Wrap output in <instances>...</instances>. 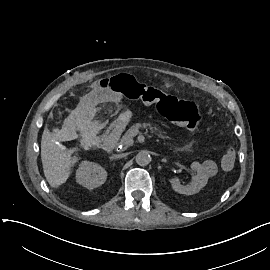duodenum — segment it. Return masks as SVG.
Returning <instances> with one entry per match:
<instances>
[{
	"label": "duodenum",
	"mask_w": 270,
	"mask_h": 270,
	"mask_svg": "<svg viewBox=\"0 0 270 270\" xmlns=\"http://www.w3.org/2000/svg\"><path fill=\"white\" fill-rule=\"evenodd\" d=\"M123 128L124 124L121 121L114 122L109 126L102 143L106 152H111L116 147Z\"/></svg>",
	"instance_id": "1"
}]
</instances>
